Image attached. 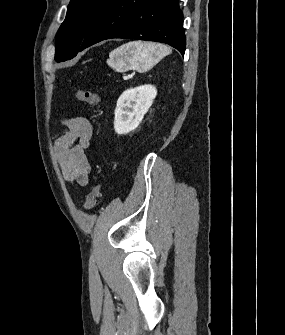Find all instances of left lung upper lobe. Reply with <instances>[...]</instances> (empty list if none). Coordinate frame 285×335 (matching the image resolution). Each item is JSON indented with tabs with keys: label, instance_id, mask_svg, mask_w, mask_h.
<instances>
[{
	"label": "left lung upper lobe",
	"instance_id": "1",
	"mask_svg": "<svg viewBox=\"0 0 285 335\" xmlns=\"http://www.w3.org/2000/svg\"><path fill=\"white\" fill-rule=\"evenodd\" d=\"M110 0H71L56 40L55 60L75 57L80 45L98 14Z\"/></svg>",
	"mask_w": 285,
	"mask_h": 335
}]
</instances>
